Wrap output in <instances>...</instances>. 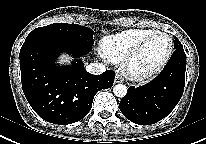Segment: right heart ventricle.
<instances>
[{
    "mask_svg": "<svg viewBox=\"0 0 206 144\" xmlns=\"http://www.w3.org/2000/svg\"><path fill=\"white\" fill-rule=\"evenodd\" d=\"M156 32L154 29H129L105 37L101 42V51L109 61L118 63L144 38Z\"/></svg>",
    "mask_w": 206,
    "mask_h": 144,
    "instance_id": "obj_1",
    "label": "right heart ventricle"
}]
</instances>
